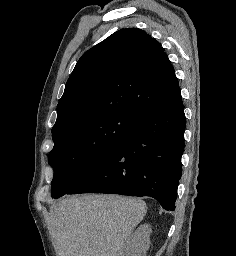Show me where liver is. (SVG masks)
<instances>
[{
	"label": "liver",
	"instance_id": "1",
	"mask_svg": "<svg viewBox=\"0 0 236 256\" xmlns=\"http://www.w3.org/2000/svg\"><path fill=\"white\" fill-rule=\"evenodd\" d=\"M50 232L57 256H127V240L147 214L142 198L71 196L52 204Z\"/></svg>",
	"mask_w": 236,
	"mask_h": 256
}]
</instances>
